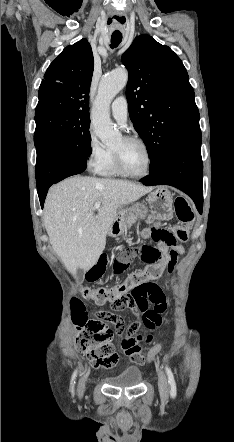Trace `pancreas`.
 I'll return each instance as SVG.
<instances>
[{"label": "pancreas", "instance_id": "obj_1", "mask_svg": "<svg viewBox=\"0 0 234 442\" xmlns=\"http://www.w3.org/2000/svg\"><path fill=\"white\" fill-rule=\"evenodd\" d=\"M137 217H138V214L136 212L129 213V215L126 218L125 230H127V227H130L137 220Z\"/></svg>", "mask_w": 234, "mask_h": 442}]
</instances>
